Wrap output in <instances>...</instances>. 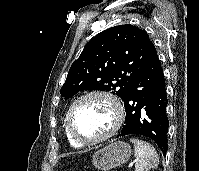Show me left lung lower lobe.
Listing matches in <instances>:
<instances>
[{
    "mask_svg": "<svg viewBox=\"0 0 199 171\" xmlns=\"http://www.w3.org/2000/svg\"><path fill=\"white\" fill-rule=\"evenodd\" d=\"M125 125L117 137L138 134L151 138L165 155L169 120L165 80L158 55L147 64L123 98Z\"/></svg>",
    "mask_w": 199,
    "mask_h": 171,
    "instance_id": "0a47b994",
    "label": "left lung lower lobe"
}]
</instances>
